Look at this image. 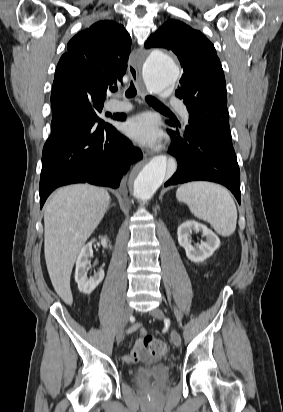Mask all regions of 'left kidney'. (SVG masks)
I'll return each mask as SVG.
<instances>
[{
	"label": "left kidney",
	"instance_id": "5707ae66",
	"mask_svg": "<svg viewBox=\"0 0 283 412\" xmlns=\"http://www.w3.org/2000/svg\"><path fill=\"white\" fill-rule=\"evenodd\" d=\"M192 231L202 232L206 236V242H202L197 247L191 245L189 239ZM178 242L186 251V256L189 260L195 263L203 262L217 250L220 246L218 236L205 225L197 223L196 221H186L182 223L177 230Z\"/></svg>",
	"mask_w": 283,
	"mask_h": 412
}]
</instances>
